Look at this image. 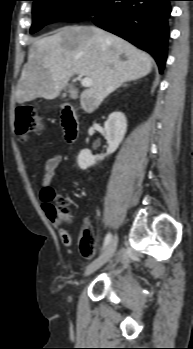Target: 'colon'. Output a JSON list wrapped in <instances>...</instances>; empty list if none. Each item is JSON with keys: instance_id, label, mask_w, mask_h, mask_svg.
Returning <instances> with one entry per match:
<instances>
[{"instance_id": "1", "label": "colon", "mask_w": 193, "mask_h": 349, "mask_svg": "<svg viewBox=\"0 0 193 349\" xmlns=\"http://www.w3.org/2000/svg\"><path fill=\"white\" fill-rule=\"evenodd\" d=\"M44 128V121L34 107L22 105L16 109L15 130L21 138L27 139L30 136H40L43 134ZM45 208L52 218L69 219V210L63 198L58 199V206H54L49 202L45 205ZM88 243L91 244L92 240L89 239Z\"/></svg>"}]
</instances>
